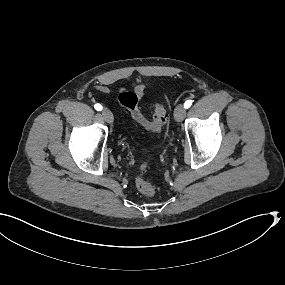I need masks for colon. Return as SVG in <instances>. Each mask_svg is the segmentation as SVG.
I'll return each instance as SVG.
<instances>
[{"instance_id":"colon-1","label":"colon","mask_w":285,"mask_h":285,"mask_svg":"<svg viewBox=\"0 0 285 285\" xmlns=\"http://www.w3.org/2000/svg\"><path fill=\"white\" fill-rule=\"evenodd\" d=\"M139 97L135 92L124 91L118 96L119 104L126 110H128L132 118L140 124L142 127L149 131L158 132L167 123V113L164 106L160 103H156L154 106V113L151 120L146 119L138 109ZM147 170V164L141 166V171ZM135 184L140 193L146 196H153L156 192L155 186L145 180L142 176H137Z\"/></svg>"}]
</instances>
